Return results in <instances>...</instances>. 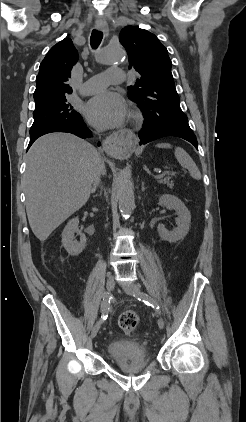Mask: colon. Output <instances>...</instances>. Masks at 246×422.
<instances>
[{"instance_id":"colon-1","label":"colon","mask_w":246,"mask_h":422,"mask_svg":"<svg viewBox=\"0 0 246 422\" xmlns=\"http://www.w3.org/2000/svg\"><path fill=\"white\" fill-rule=\"evenodd\" d=\"M138 324L139 318L133 311H125L119 316L118 325L126 333L133 332Z\"/></svg>"}]
</instances>
